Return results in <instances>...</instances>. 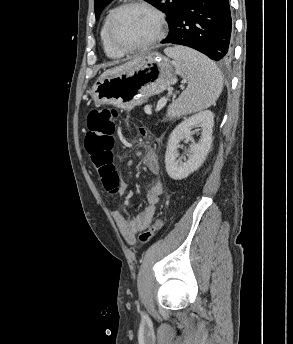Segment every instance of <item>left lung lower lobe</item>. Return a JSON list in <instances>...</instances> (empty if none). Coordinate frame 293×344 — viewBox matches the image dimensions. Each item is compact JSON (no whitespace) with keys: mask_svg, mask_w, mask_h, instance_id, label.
Masks as SVG:
<instances>
[{"mask_svg":"<svg viewBox=\"0 0 293 344\" xmlns=\"http://www.w3.org/2000/svg\"><path fill=\"white\" fill-rule=\"evenodd\" d=\"M232 19L228 0H181L161 43L191 47L215 61H229Z\"/></svg>","mask_w":293,"mask_h":344,"instance_id":"0a47b994","label":"left lung lower lobe"}]
</instances>
